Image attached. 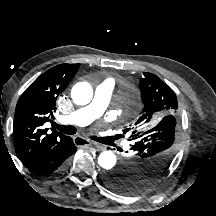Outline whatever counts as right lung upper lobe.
<instances>
[{
  "label": "right lung upper lobe",
  "instance_id": "right-lung-upper-lobe-1",
  "mask_svg": "<svg viewBox=\"0 0 216 216\" xmlns=\"http://www.w3.org/2000/svg\"><path fill=\"white\" fill-rule=\"evenodd\" d=\"M80 64H60L39 76L21 95L14 117V139L18 155L28 167L69 137L48 128L54 119L56 99L73 79Z\"/></svg>",
  "mask_w": 216,
  "mask_h": 216
}]
</instances>
